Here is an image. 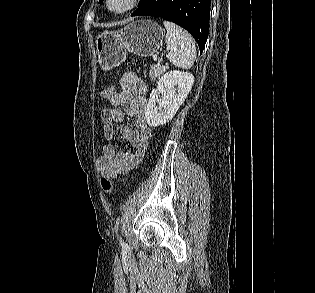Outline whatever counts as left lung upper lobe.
I'll use <instances>...</instances> for the list:
<instances>
[{
	"mask_svg": "<svg viewBox=\"0 0 315 293\" xmlns=\"http://www.w3.org/2000/svg\"><path fill=\"white\" fill-rule=\"evenodd\" d=\"M103 0H100L99 2H102ZM145 0H141V3H140V5L144 2Z\"/></svg>",
	"mask_w": 315,
	"mask_h": 293,
	"instance_id": "obj_1",
	"label": "left lung upper lobe"
}]
</instances>
